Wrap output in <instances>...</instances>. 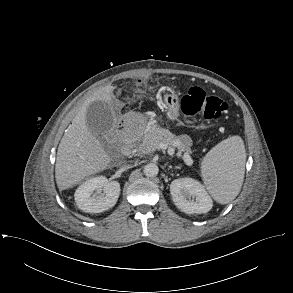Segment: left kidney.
<instances>
[{"label": "left kidney", "instance_id": "obj_1", "mask_svg": "<svg viewBox=\"0 0 293 293\" xmlns=\"http://www.w3.org/2000/svg\"><path fill=\"white\" fill-rule=\"evenodd\" d=\"M170 193L176 207L187 214L207 213L213 206V201L204 186L189 177L173 180Z\"/></svg>", "mask_w": 293, "mask_h": 293}]
</instances>
